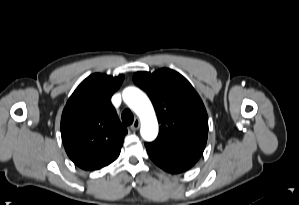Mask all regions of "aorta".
I'll use <instances>...</instances> for the list:
<instances>
[{"label":"aorta","instance_id":"1","mask_svg":"<svg viewBox=\"0 0 299 205\" xmlns=\"http://www.w3.org/2000/svg\"><path fill=\"white\" fill-rule=\"evenodd\" d=\"M123 100L141 119L140 133L144 140L152 141L158 134V122L148 97L135 87L123 91Z\"/></svg>","mask_w":299,"mask_h":205}]
</instances>
